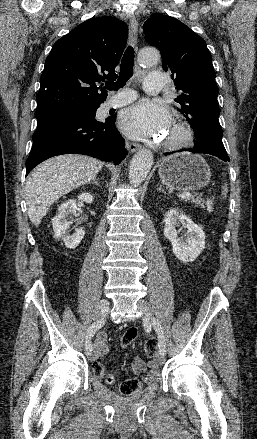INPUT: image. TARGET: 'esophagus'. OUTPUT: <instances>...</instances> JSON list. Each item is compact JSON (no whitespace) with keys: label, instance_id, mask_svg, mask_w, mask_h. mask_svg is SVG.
<instances>
[{"label":"esophagus","instance_id":"esophagus-1","mask_svg":"<svg viewBox=\"0 0 257 439\" xmlns=\"http://www.w3.org/2000/svg\"><path fill=\"white\" fill-rule=\"evenodd\" d=\"M129 40L131 45L137 49V41H138V22L134 16L130 18L129 23ZM127 148L131 153L136 152L141 149V145L138 143H128Z\"/></svg>","mask_w":257,"mask_h":439}]
</instances>
